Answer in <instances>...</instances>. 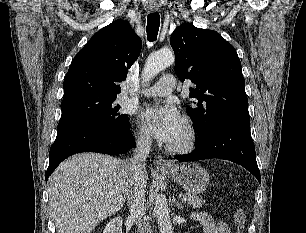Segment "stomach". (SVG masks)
<instances>
[{
    "label": "stomach",
    "instance_id": "obj_1",
    "mask_svg": "<svg viewBox=\"0 0 306 233\" xmlns=\"http://www.w3.org/2000/svg\"><path fill=\"white\" fill-rule=\"evenodd\" d=\"M161 172L177 182L190 194L204 192L210 181L208 172L195 162L175 165L170 170H162Z\"/></svg>",
    "mask_w": 306,
    "mask_h": 233
}]
</instances>
